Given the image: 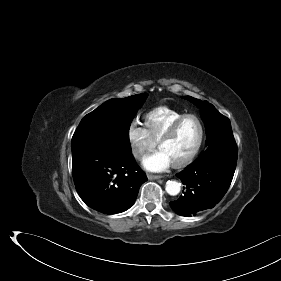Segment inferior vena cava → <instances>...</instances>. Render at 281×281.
I'll return each mask as SVG.
<instances>
[{
  "mask_svg": "<svg viewBox=\"0 0 281 281\" xmlns=\"http://www.w3.org/2000/svg\"><path fill=\"white\" fill-rule=\"evenodd\" d=\"M140 154H141V153H137L136 155H137V156H140Z\"/></svg>",
  "mask_w": 281,
  "mask_h": 281,
  "instance_id": "inferior-vena-cava-1",
  "label": "inferior vena cava"
}]
</instances>
